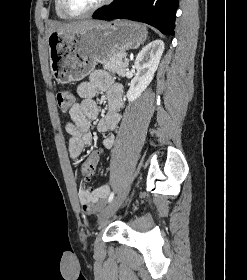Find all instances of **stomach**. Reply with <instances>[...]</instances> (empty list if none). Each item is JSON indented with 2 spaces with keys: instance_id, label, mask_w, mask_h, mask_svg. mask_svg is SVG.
I'll list each match as a JSON object with an SVG mask.
<instances>
[{
  "instance_id": "1",
  "label": "stomach",
  "mask_w": 247,
  "mask_h": 280,
  "mask_svg": "<svg viewBox=\"0 0 247 280\" xmlns=\"http://www.w3.org/2000/svg\"><path fill=\"white\" fill-rule=\"evenodd\" d=\"M146 38V27L128 20L101 22L78 33L52 32L47 38L52 75L63 84L79 81L97 63L138 48Z\"/></svg>"
}]
</instances>
